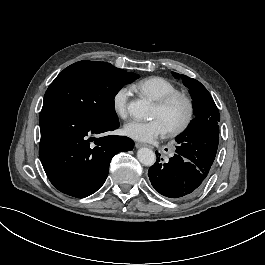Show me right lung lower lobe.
Wrapping results in <instances>:
<instances>
[{
  "mask_svg": "<svg viewBox=\"0 0 265 265\" xmlns=\"http://www.w3.org/2000/svg\"><path fill=\"white\" fill-rule=\"evenodd\" d=\"M39 124V156L46 175L59 191L77 198L95 193L107 178L112 157L134 146L125 136L95 138L117 129L118 122L92 123L59 108L43 107Z\"/></svg>",
  "mask_w": 265,
  "mask_h": 265,
  "instance_id": "98d812e1",
  "label": "right lung lower lobe"
}]
</instances>
